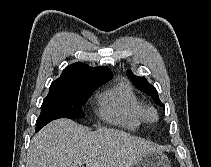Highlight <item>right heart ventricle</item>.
I'll list each match as a JSON object with an SVG mask.
<instances>
[{
  "label": "right heart ventricle",
  "mask_w": 211,
  "mask_h": 167,
  "mask_svg": "<svg viewBox=\"0 0 211 167\" xmlns=\"http://www.w3.org/2000/svg\"><path fill=\"white\" fill-rule=\"evenodd\" d=\"M99 115L108 122L134 129L145 121V106L132 87L121 81L101 94Z\"/></svg>",
  "instance_id": "right-heart-ventricle-1"
}]
</instances>
